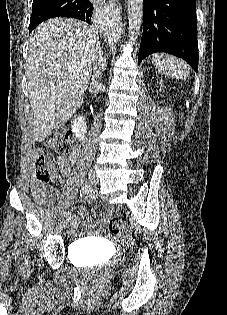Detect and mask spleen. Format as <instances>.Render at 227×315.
Instances as JSON below:
<instances>
[{"label":"spleen","mask_w":227,"mask_h":315,"mask_svg":"<svg viewBox=\"0 0 227 315\" xmlns=\"http://www.w3.org/2000/svg\"><path fill=\"white\" fill-rule=\"evenodd\" d=\"M155 65L160 72L180 79H186L189 74V68L183 61L167 55L166 57L160 56L154 59Z\"/></svg>","instance_id":"spleen-1"}]
</instances>
